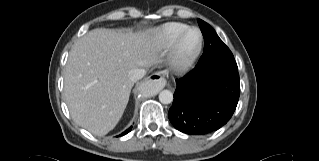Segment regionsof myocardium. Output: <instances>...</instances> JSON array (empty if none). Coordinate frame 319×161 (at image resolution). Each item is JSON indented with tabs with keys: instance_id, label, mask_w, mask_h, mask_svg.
I'll return each instance as SVG.
<instances>
[{
	"instance_id": "1",
	"label": "myocardium",
	"mask_w": 319,
	"mask_h": 161,
	"mask_svg": "<svg viewBox=\"0 0 319 161\" xmlns=\"http://www.w3.org/2000/svg\"><path fill=\"white\" fill-rule=\"evenodd\" d=\"M193 30L198 32L199 42L193 52H191L188 55H183L180 49L182 40L188 32ZM202 45H203V34L198 27H187L186 29H184L182 32H180L177 35V37L175 38L174 42L171 45L170 60H171L172 66L177 70H183L191 66L192 63L198 57L202 49Z\"/></svg>"
}]
</instances>
